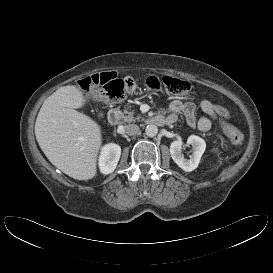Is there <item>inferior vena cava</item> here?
I'll return each instance as SVG.
<instances>
[{
  "mask_svg": "<svg viewBox=\"0 0 273 273\" xmlns=\"http://www.w3.org/2000/svg\"><path fill=\"white\" fill-rule=\"evenodd\" d=\"M140 128L136 124H128L125 126V133L128 135H136Z\"/></svg>",
  "mask_w": 273,
  "mask_h": 273,
  "instance_id": "602c4592",
  "label": "inferior vena cava"
}]
</instances>
